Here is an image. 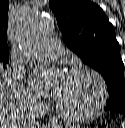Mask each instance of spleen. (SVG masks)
Wrapping results in <instances>:
<instances>
[{"mask_svg":"<svg viewBox=\"0 0 125 128\" xmlns=\"http://www.w3.org/2000/svg\"><path fill=\"white\" fill-rule=\"evenodd\" d=\"M122 128H125V125H124V123L122 124Z\"/></svg>","mask_w":125,"mask_h":128,"instance_id":"1","label":"spleen"}]
</instances>
